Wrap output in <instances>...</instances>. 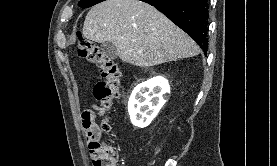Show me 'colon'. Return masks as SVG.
<instances>
[{
  "instance_id": "5ec220e1",
  "label": "colon",
  "mask_w": 277,
  "mask_h": 166,
  "mask_svg": "<svg viewBox=\"0 0 277 166\" xmlns=\"http://www.w3.org/2000/svg\"><path fill=\"white\" fill-rule=\"evenodd\" d=\"M77 54L79 57L94 63L100 71L101 80L94 87V97L101 103V110L107 113L118 97L120 70L111 60L107 59L101 50L81 34L77 39ZM83 129L92 154L94 166H117V151L110 141H102V134L111 130L109 119L105 116L99 127L91 120L90 113L85 112Z\"/></svg>"
}]
</instances>
